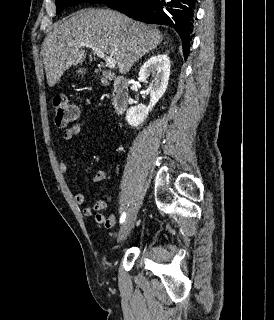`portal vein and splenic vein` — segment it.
<instances>
[{
  "instance_id": "1",
  "label": "portal vein and splenic vein",
  "mask_w": 274,
  "mask_h": 320,
  "mask_svg": "<svg viewBox=\"0 0 274 320\" xmlns=\"http://www.w3.org/2000/svg\"><path fill=\"white\" fill-rule=\"evenodd\" d=\"M79 46H86V48H91V50H94L95 54H97L98 58H103L104 62H106L107 68H115L116 66V60H114L113 56H106L100 48H96L95 44H87V42H82V44H79Z\"/></svg>"
}]
</instances>
